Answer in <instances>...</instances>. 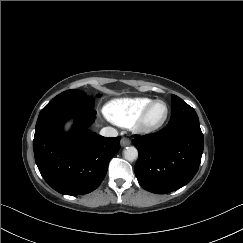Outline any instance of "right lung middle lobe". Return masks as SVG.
Here are the masks:
<instances>
[{"label":"right lung middle lobe","instance_id":"obj_1","mask_svg":"<svg viewBox=\"0 0 243 243\" xmlns=\"http://www.w3.org/2000/svg\"><path fill=\"white\" fill-rule=\"evenodd\" d=\"M55 105L77 106L93 109L94 99L91 96H87L83 91L75 89L67 90L54 97L43 109Z\"/></svg>","mask_w":243,"mask_h":243}]
</instances>
